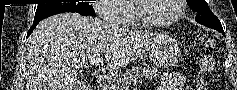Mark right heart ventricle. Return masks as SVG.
I'll list each match as a JSON object with an SVG mask.
<instances>
[{
    "label": "right heart ventricle",
    "mask_w": 237,
    "mask_h": 90,
    "mask_svg": "<svg viewBox=\"0 0 237 90\" xmlns=\"http://www.w3.org/2000/svg\"><path fill=\"white\" fill-rule=\"evenodd\" d=\"M113 11H133L132 4H118L113 7ZM119 16L130 15V12H119ZM113 28H143L137 19H120L114 24Z\"/></svg>",
    "instance_id": "right-heart-ventricle-1"
}]
</instances>
